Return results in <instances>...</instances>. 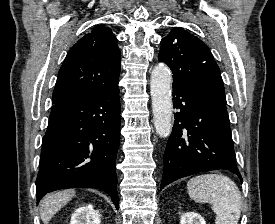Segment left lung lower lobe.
<instances>
[{
    "instance_id": "obj_1",
    "label": "left lung lower lobe",
    "mask_w": 275,
    "mask_h": 224,
    "mask_svg": "<svg viewBox=\"0 0 275 224\" xmlns=\"http://www.w3.org/2000/svg\"><path fill=\"white\" fill-rule=\"evenodd\" d=\"M174 127L163 156L160 189L179 178L210 170L235 173L233 140L226 103L201 92L173 86Z\"/></svg>"
}]
</instances>
